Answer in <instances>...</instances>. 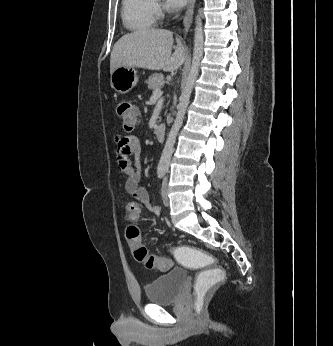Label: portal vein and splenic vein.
I'll return each mask as SVG.
<instances>
[{"mask_svg":"<svg viewBox=\"0 0 333 346\" xmlns=\"http://www.w3.org/2000/svg\"><path fill=\"white\" fill-rule=\"evenodd\" d=\"M162 94H163V91L161 90V88H158V89L154 90L152 98L158 99L162 96Z\"/></svg>","mask_w":333,"mask_h":346,"instance_id":"obj_1","label":"portal vein and splenic vein"}]
</instances>
